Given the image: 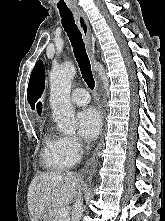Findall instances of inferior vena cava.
<instances>
[{
    "mask_svg": "<svg viewBox=\"0 0 165 221\" xmlns=\"http://www.w3.org/2000/svg\"><path fill=\"white\" fill-rule=\"evenodd\" d=\"M82 213H83V201L81 199V193L79 192L77 194V198L73 205L72 221H80Z\"/></svg>",
    "mask_w": 165,
    "mask_h": 221,
    "instance_id": "602c4592",
    "label": "inferior vena cava"
}]
</instances>
